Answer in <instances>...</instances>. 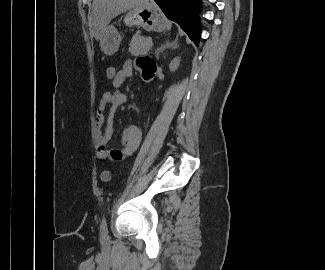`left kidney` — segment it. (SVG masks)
I'll list each match as a JSON object with an SVG mask.
<instances>
[{"instance_id": "1", "label": "left kidney", "mask_w": 325, "mask_h": 270, "mask_svg": "<svg viewBox=\"0 0 325 270\" xmlns=\"http://www.w3.org/2000/svg\"><path fill=\"white\" fill-rule=\"evenodd\" d=\"M180 64V58L179 57H176L174 58L170 64H169V69L174 72L175 70H177L178 66Z\"/></svg>"}]
</instances>
